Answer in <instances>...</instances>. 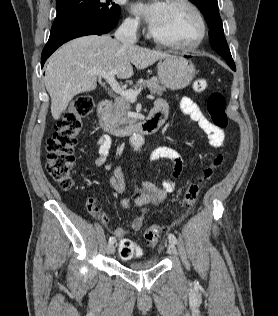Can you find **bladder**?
I'll return each mask as SVG.
<instances>
[{"label":"bladder","instance_id":"obj_1","mask_svg":"<svg viewBox=\"0 0 278 316\" xmlns=\"http://www.w3.org/2000/svg\"><path fill=\"white\" fill-rule=\"evenodd\" d=\"M159 261L155 258L142 260V261H133L126 264V267L132 271L143 272L155 268L158 265Z\"/></svg>","mask_w":278,"mask_h":316}]
</instances>
